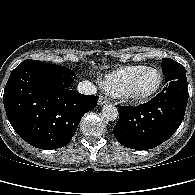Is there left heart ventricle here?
<instances>
[{"label":"left heart ventricle","mask_w":195,"mask_h":195,"mask_svg":"<svg viewBox=\"0 0 195 195\" xmlns=\"http://www.w3.org/2000/svg\"><path fill=\"white\" fill-rule=\"evenodd\" d=\"M158 82V75L148 71L143 73L135 83L134 90L137 93H145L153 89Z\"/></svg>","instance_id":"1"}]
</instances>
